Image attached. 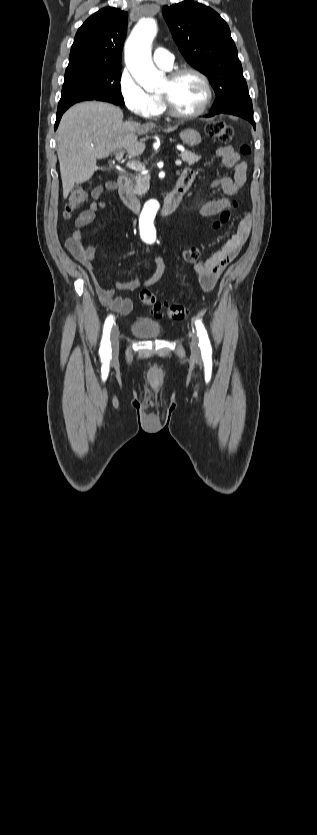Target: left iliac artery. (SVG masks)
I'll return each instance as SVG.
<instances>
[{
	"label": "left iliac artery",
	"instance_id": "left-iliac-artery-1",
	"mask_svg": "<svg viewBox=\"0 0 317 835\" xmlns=\"http://www.w3.org/2000/svg\"><path fill=\"white\" fill-rule=\"evenodd\" d=\"M195 326L197 330V336L199 338V346L201 349L202 358L206 362H210L212 359V348L208 338L207 331L202 323L201 320L197 319L195 321Z\"/></svg>",
	"mask_w": 317,
	"mask_h": 835
}]
</instances>
